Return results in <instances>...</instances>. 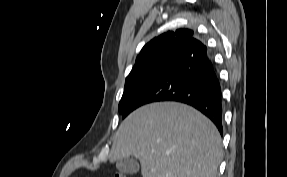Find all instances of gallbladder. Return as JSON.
I'll return each instance as SVG.
<instances>
[{"label":"gallbladder","instance_id":"bac80fb5","mask_svg":"<svg viewBox=\"0 0 287 177\" xmlns=\"http://www.w3.org/2000/svg\"><path fill=\"white\" fill-rule=\"evenodd\" d=\"M116 167L120 172L129 175L136 174L139 171V164L132 156L118 159Z\"/></svg>","mask_w":287,"mask_h":177}]
</instances>
